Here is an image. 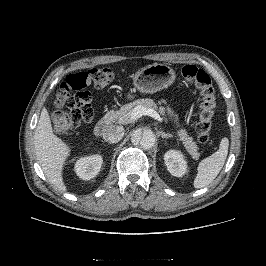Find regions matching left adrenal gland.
Segmentation results:
<instances>
[{
  "label": "left adrenal gland",
  "instance_id": "a2214340",
  "mask_svg": "<svg viewBox=\"0 0 266 266\" xmlns=\"http://www.w3.org/2000/svg\"><path fill=\"white\" fill-rule=\"evenodd\" d=\"M158 133H159V135H161L162 139L172 138V135L169 133H165L163 131H159Z\"/></svg>",
  "mask_w": 266,
  "mask_h": 266
}]
</instances>
